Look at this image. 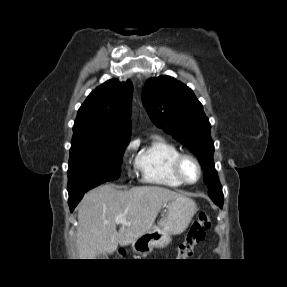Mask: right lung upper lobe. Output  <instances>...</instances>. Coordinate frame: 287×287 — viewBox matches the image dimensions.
<instances>
[{"mask_svg": "<svg viewBox=\"0 0 287 287\" xmlns=\"http://www.w3.org/2000/svg\"><path fill=\"white\" fill-rule=\"evenodd\" d=\"M132 83L111 79L93 90L78 111L74 132L88 131L99 138L129 140Z\"/></svg>", "mask_w": 287, "mask_h": 287, "instance_id": "1", "label": "right lung upper lobe"}]
</instances>
